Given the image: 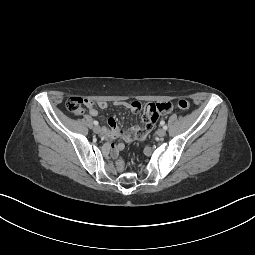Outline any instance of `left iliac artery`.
Masks as SVG:
<instances>
[{"instance_id":"obj_1","label":"left iliac artery","mask_w":255,"mask_h":255,"mask_svg":"<svg viewBox=\"0 0 255 255\" xmlns=\"http://www.w3.org/2000/svg\"><path fill=\"white\" fill-rule=\"evenodd\" d=\"M167 128H168V127H167L166 125L163 126V129H164V130H167Z\"/></svg>"}]
</instances>
